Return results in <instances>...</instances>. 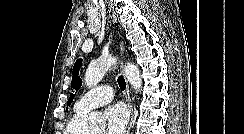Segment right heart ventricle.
Returning a JSON list of instances; mask_svg holds the SVG:
<instances>
[{
  "label": "right heart ventricle",
  "instance_id": "right-heart-ventricle-1",
  "mask_svg": "<svg viewBox=\"0 0 244 134\" xmlns=\"http://www.w3.org/2000/svg\"><path fill=\"white\" fill-rule=\"evenodd\" d=\"M86 112L74 110L67 122L65 134H91L85 121Z\"/></svg>",
  "mask_w": 244,
  "mask_h": 134
}]
</instances>
